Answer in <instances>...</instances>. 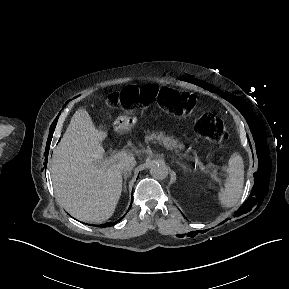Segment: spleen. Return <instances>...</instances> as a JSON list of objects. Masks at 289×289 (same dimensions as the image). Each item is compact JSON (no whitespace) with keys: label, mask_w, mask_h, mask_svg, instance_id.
<instances>
[{"label":"spleen","mask_w":289,"mask_h":289,"mask_svg":"<svg viewBox=\"0 0 289 289\" xmlns=\"http://www.w3.org/2000/svg\"><path fill=\"white\" fill-rule=\"evenodd\" d=\"M226 173L224 189L218 194V201L221 207L230 208L239 201L244 184V163L238 153L229 159Z\"/></svg>","instance_id":"1"}]
</instances>
